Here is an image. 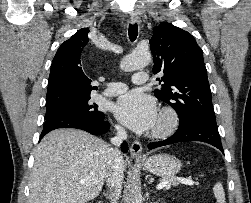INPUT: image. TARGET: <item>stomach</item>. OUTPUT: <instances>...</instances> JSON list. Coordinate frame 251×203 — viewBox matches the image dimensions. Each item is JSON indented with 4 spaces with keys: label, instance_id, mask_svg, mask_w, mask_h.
I'll list each match as a JSON object with an SVG mask.
<instances>
[{
    "label": "stomach",
    "instance_id": "1",
    "mask_svg": "<svg viewBox=\"0 0 251 203\" xmlns=\"http://www.w3.org/2000/svg\"><path fill=\"white\" fill-rule=\"evenodd\" d=\"M150 173L161 177H173L181 169V162L170 154H157L140 162Z\"/></svg>",
    "mask_w": 251,
    "mask_h": 203
}]
</instances>
